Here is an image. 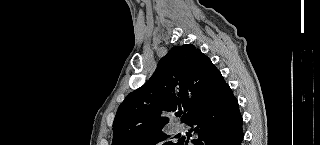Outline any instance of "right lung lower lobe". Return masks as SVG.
Masks as SVG:
<instances>
[{
  "mask_svg": "<svg viewBox=\"0 0 320 145\" xmlns=\"http://www.w3.org/2000/svg\"><path fill=\"white\" fill-rule=\"evenodd\" d=\"M186 124L198 134L193 145H241L243 139L242 116L238 101L230 87L220 76L212 88L207 107L190 118ZM189 139L181 137L178 145H188Z\"/></svg>",
  "mask_w": 320,
  "mask_h": 145,
  "instance_id": "right-lung-lower-lobe-1",
  "label": "right lung lower lobe"
}]
</instances>
